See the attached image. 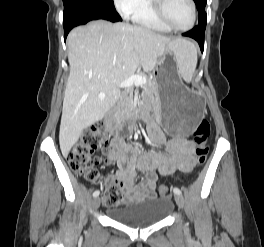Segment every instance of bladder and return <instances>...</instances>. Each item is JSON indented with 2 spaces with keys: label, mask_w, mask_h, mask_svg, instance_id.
Returning <instances> with one entry per match:
<instances>
[{
  "label": "bladder",
  "mask_w": 264,
  "mask_h": 247,
  "mask_svg": "<svg viewBox=\"0 0 264 247\" xmlns=\"http://www.w3.org/2000/svg\"><path fill=\"white\" fill-rule=\"evenodd\" d=\"M172 210V202L166 198H147L128 202L113 208L109 216L116 222L132 227H147L163 221Z\"/></svg>",
  "instance_id": "31cf9c89"
}]
</instances>
